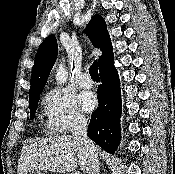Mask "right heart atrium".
Instances as JSON below:
<instances>
[{
    "label": "right heart atrium",
    "mask_w": 175,
    "mask_h": 174,
    "mask_svg": "<svg viewBox=\"0 0 175 174\" xmlns=\"http://www.w3.org/2000/svg\"><path fill=\"white\" fill-rule=\"evenodd\" d=\"M47 129L54 134L68 133L87 124L75 97L61 88L50 90L43 99Z\"/></svg>",
    "instance_id": "d8ad5b80"
}]
</instances>
